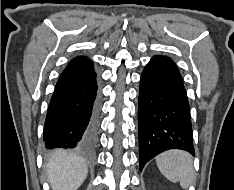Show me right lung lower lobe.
<instances>
[{
	"label": "right lung lower lobe",
	"instance_id": "98d812e1",
	"mask_svg": "<svg viewBox=\"0 0 234 190\" xmlns=\"http://www.w3.org/2000/svg\"><path fill=\"white\" fill-rule=\"evenodd\" d=\"M97 81L87 57L64 69L51 97L44 125L47 148H76L94 143L98 127Z\"/></svg>",
	"mask_w": 234,
	"mask_h": 190
}]
</instances>
